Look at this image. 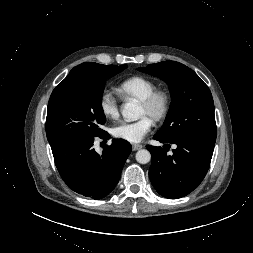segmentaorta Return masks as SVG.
<instances>
[{"label": "aorta", "instance_id": "aorta-1", "mask_svg": "<svg viewBox=\"0 0 253 253\" xmlns=\"http://www.w3.org/2000/svg\"><path fill=\"white\" fill-rule=\"evenodd\" d=\"M140 110L136 102L129 101L123 105L121 113L126 120H136L140 117ZM135 157L140 164H147L151 160V154L146 149L139 150Z\"/></svg>", "mask_w": 253, "mask_h": 253}]
</instances>
